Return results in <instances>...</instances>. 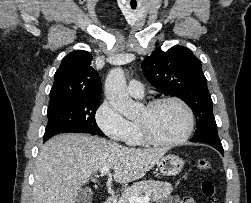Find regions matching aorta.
Segmentation results:
<instances>
[{
    "instance_id": "aorta-1",
    "label": "aorta",
    "mask_w": 251,
    "mask_h": 203,
    "mask_svg": "<svg viewBox=\"0 0 251 203\" xmlns=\"http://www.w3.org/2000/svg\"><path fill=\"white\" fill-rule=\"evenodd\" d=\"M105 96L115 110L132 119L139 114L140 105L126 91V78L122 68L110 70L105 80Z\"/></svg>"
}]
</instances>
